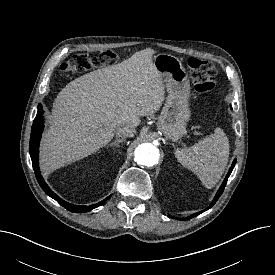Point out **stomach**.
Segmentation results:
<instances>
[{"label": "stomach", "mask_w": 275, "mask_h": 275, "mask_svg": "<svg viewBox=\"0 0 275 275\" xmlns=\"http://www.w3.org/2000/svg\"><path fill=\"white\" fill-rule=\"evenodd\" d=\"M154 66L165 79L168 96L158 118V129L169 140H177L186 133L190 119L188 74L181 61L170 54L154 56Z\"/></svg>", "instance_id": "obj_1"}]
</instances>
